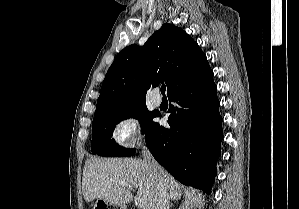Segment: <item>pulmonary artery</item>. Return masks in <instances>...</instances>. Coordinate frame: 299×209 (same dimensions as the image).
Returning a JSON list of instances; mask_svg holds the SVG:
<instances>
[{
	"instance_id": "pulmonary-artery-1",
	"label": "pulmonary artery",
	"mask_w": 299,
	"mask_h": 209,
	"mask_svg": "<svg viewBox=\"0 0 299 209\" xmlns=\"http://www.w3.org/2000/svg\"><path fill=\"white\" fill-rule=\"evenodd\" d=\"M151 103L155 107H159L162 103V99L157 95L156 91L151 95Z\"/></svg>"
}]
</instances>
